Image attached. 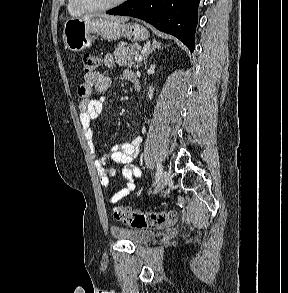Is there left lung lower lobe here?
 <instances>
[{
  "instance_id": "1",
  "label": "left lung lower lobe",
  "mask_w": 288,
  "mask_h": 293,
  "mask_svg": "<svg viewBox=\"0 0 288 293\" xmlns=\"http://www.w3.org/2000/svg\"><path fill=\"white\" fill-rule=\"evenodd\" d=\"M199 2L200 0H128L106 13L140 18L158 30L177 37L193 52Z\"/></svg>"
}]
</instances>
